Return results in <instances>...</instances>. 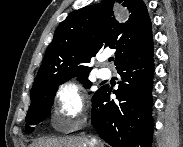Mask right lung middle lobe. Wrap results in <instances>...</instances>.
Masks as SVG:
<instances>
[{"instance_id": "right-lung-middle-lobe-1", "label": "right lung middle lobe", "mask_w": 183, "mask_h": 147, "mask_svg": "<svg viewBox=\"0 0 183 147\" xmlns=\"http://www.w3.org/2000/svg\"><path fill=\"white\" fill-rule=\"evenodd\" d=\"M75 77H78L79 81L84 82V87L90 88L91 82L88 81V74ZM71 78L73 77L57 79L47 86L31 91V105L26 116L27 124L25 126L27 132H32L34 130L32 125L39 124L50 115L58 86Z\"/></svg>"}]
</instances>
